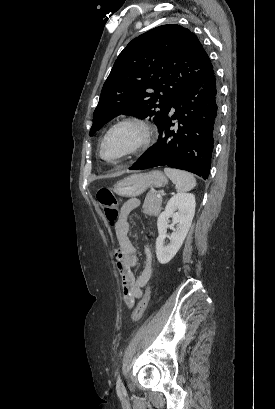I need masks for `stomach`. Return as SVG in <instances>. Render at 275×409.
Returning a JSON list of instances; mask_svg holds the SVG:
<instances>
[{
    "label": "stomach",
    "mask_w": 275,
    "mask_h": 409,
    "mask_svg": "<svg viewBox=\"0 0 275 409\" xmlns=\"http://www.w3.org/2000/svg\"><path fill=\"white\" fill-rule=\"evenodd\" d=\"M168 180L161 170L130 174L114 184V192L120 196H139L148 186H165Z\"/></svg>",
    "instance_id": "0dacf381"
}]
</instances>
